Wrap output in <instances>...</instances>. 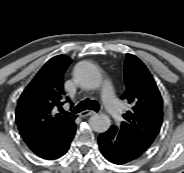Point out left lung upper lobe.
Here are the masks:
<instances>
[{
  "mask_svg": "<svg viewBox=\"0 0 184 173\" xmlns=\"http://www.w3.org/2000/svg\"><path fill=\"white\" fill-rule=\"evenodd\" d=\"M126 90L122 99L131 109L117 127L146 151L158 135L163 120V102L157 85L143 62L132 54L124 65Z\"/></svg>",
  "mask_w": 184,
  "mask_h": 173,
  "instance_id": "obj_1",
  "label": "left lung upper lobe"
}]
</instances>
